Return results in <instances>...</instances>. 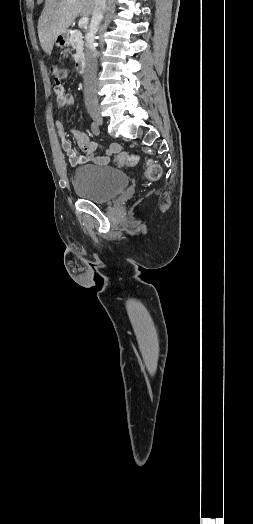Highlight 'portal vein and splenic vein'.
<instances>
[{
	"instance_id": "obj_1",
	"label": "portal vein and splenic vein",
	"mask_w": 253,
	"mask_h": 524,
	"mask_svg": "<svg viewBox=\"0 0 253 524\" xmlns=\"http://www.w3.org/2000/svg\"><path fill=\"white\" fill-rule=\"evenodd\" d=\"M88 21H89V18L87 16L85 17H82L79 22H78V26L81 27V26H85L88 24Z\"/></svg>"
}]
</instances>
